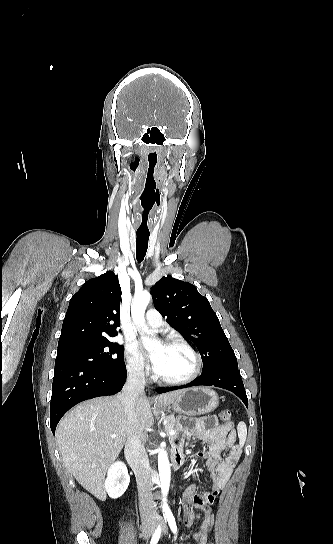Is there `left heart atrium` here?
<instances>
[{
    "label": "left heart atrium",
    "mask_w": 333,
    "mask_h": 544,
    "mask_svg": "<svg viewBox=\"0 0 333 544\" xmlns=\"http://www.w3.org/2000/svg\"><path fill=\"white\" fill-rule=\"evenodd\" d=\"M160 356H161L160 351L153 352L152 354L149 355V359L155 368L157 367L160 361Z\"/></svg>",
    "instance_id": "left-heart-atrium-1"
}]
</instances>
